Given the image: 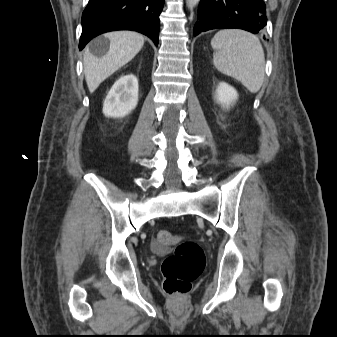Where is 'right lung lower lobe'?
<instances>
[{
	"label": "right lung lower lobe",
	"instance_id": "obj_1",
	"mask_svg": "<svg viewBox=\"0 0 337 337\" xmlns=\"http://www.w3.org/2000/svg\"><path fill=\"white\" fill-rule=\"evenodd\" d=\"M164 0H89L82 15L79 49L95 36L114 30H133L158 45L159 15Z\"/></svg>",
	"mask_w": 337,
	"mask_h": 337
}]
</instances>
